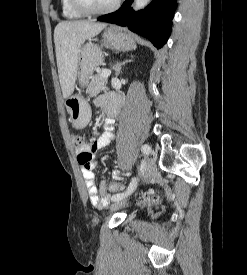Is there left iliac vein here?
Segmentation results:
<instances>
[{"label":"left iliac vein","mask_w":247,"mask_h":275,"mask_svg":"<svg viewBox=\"0 0 247 275\" xmlns=\"http://www.w3.org/2000/svg\"><path fill=\"white\" fill-rule=\"evenodd\" d=\"M145 174H146L147 178H152V177L155 176V174H156V161H155V159H153V158H148L147 159ZM131 193L127 194V196L130 195ZM127 196H125L121 200L115 201L113 203V205L111 206V209L116 210V209L120 208L121 206H123L125 204Z\"/></svg>","instance_id":"4c4485c4"}]
</instances>
